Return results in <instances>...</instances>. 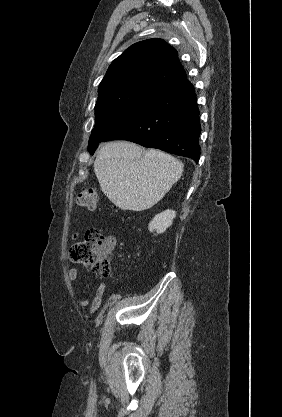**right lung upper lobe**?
I'll return each mask as SVG.
<instances>
[{"label": "right lung upper lobe", "mask_w": 282, "mask_h": 417, "mask_svg": "<svg viewBox=\"0 0 282 417\" xmlns=\"http://www.w3.org/2000/svg\"><path fill=\"white\" fill-rule=\"evenodd\" d=\"M186 78L177 51L161 39L133 44L110 65L99 95L125 90L159 93Z\"/></svg>", "instance_id": "1"}]
</instances>
